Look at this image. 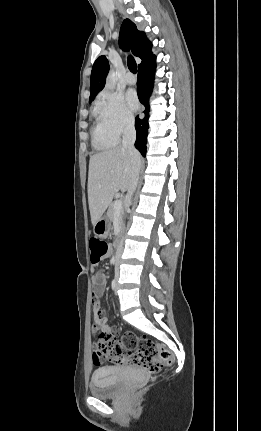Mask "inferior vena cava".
<instances>
[{"instance_id": "obj_1", "label": "inferior vena cava", "mask_w": 261, "mask_h": 431, "mask_svg": "<svg viewBox=\"0 0 261 431\" xmlns=\"http://www.w3.org/2000/svg\"><path fill=\"white\" fill-rule=\"evenodd\" d=\"M136 140V131H135V127H134V118H129L126 121V126L124 129V133H123V139H122V147L124 149H127L128 152L132 155V156H137L139 153L136 150V148L134 147V143ZM139 170H140V166H137L134 170V174L131 180V184L130 187L128 189V194H127V202L128 204L131 203V198L133 193L136 190V187L138 185V180H139ZM123 250V239L120 241L117 250H116V258H115V275L118 276L119 274V259L121 256Z\"/></svg>"}]
</instances>
